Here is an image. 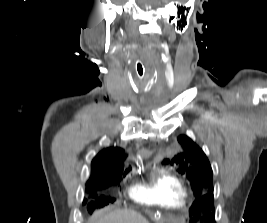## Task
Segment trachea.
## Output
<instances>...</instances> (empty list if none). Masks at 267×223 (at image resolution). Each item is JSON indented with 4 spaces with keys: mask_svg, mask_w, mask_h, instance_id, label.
Instances as JSON below:
<instances>
[{
    "mask_svg": "<svg viewBox=\"0 0 267 223\" xmlns=\"http://www.w3.org/2000/svg\"><path fill=\"white\" fill-rule=\"evenodd\" d=\"M137 71H138V74L140 75V76H142L143 75V68H142V65H138L137 66Z\"/></svg>",
    "mask_w": 267,
    "mask_h": 223,
    "instance_id": "trachea-1",
    "label": "trachea"
}]
</instances>
